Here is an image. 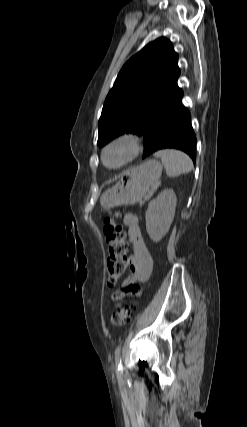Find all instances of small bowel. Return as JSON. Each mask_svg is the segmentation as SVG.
Wrapping results in <instances>:
<instances>
[{"label": "small bowel", "instance_id": "c3829d8e", "mask_svg": "<svg viewBox=\"0 0 247 427\" xmlns=\"http://www.w3.org/2000/svg\"><path fill=\"white\" fill-rule=\"evenodd\" d=\"M123 221L127 229V239L133 250L129 257L131 274L113 294L114 300L139 296V284L149 278L153 268V260L143 239L137 216L127 214Z\"/></svg>", "mask_w": 247, "mask_h": 427}]
</instances>
